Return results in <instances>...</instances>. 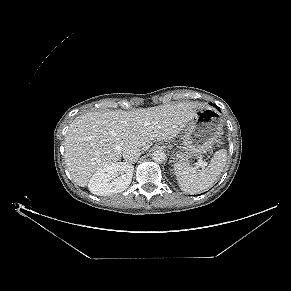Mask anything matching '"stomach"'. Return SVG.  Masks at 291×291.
<instances>
[{"instance_id":"obj_1","label":"stomach","mask_w":291,"mask_h":291,"mask_svg":"<svg viewBox=\"0 0 291 291\" xmlns=\"http://www.w3.org/2000/svg\"><path fill=\"white\" fill-rule=\"evenodd\" d=\"M222 135V119L211 107L199 110L188 123L181 137L182 149L176 154L180 160L209 151Z\"/></svg>"}]
</instances>
